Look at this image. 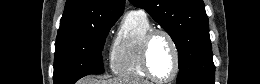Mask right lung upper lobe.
Segmentation results:
<instances>
[{
    "mask_svg": "<svg viewBox=\"0 0 260 84\" xmlns=\"http://www.w3.org/2000/svg\"><path fill=\"white\" fill-rule=\"evenodd\" d=\"M124 7L125 0H67L57 38L83 34L99 21H117Z\"/></svg>",
    "mask_w": 260,
    "mask_h": 84,
    "instance_id": "obj_1",
    "label": "right lung upper lobe"
}]
</instances>
